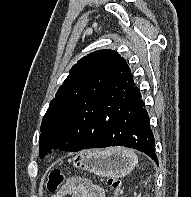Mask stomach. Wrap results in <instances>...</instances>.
<instances>
[{
  "mask_svg": "<svg viewBox=\"0 0 191 197\" xmlns=\"http://www.w3.org/2000/svg\"><path fill=\"white\" fill-rule=\"evenodd\" d=\"M119 149L121 148L82 151L73 158V165L102 177H124L136 163Z\"/></svg>",
  "mask_w": 191,
  "mask_h": 197,
  "instance_id": "stomach-1",
  "label": "stomach"
}]
</instances>
